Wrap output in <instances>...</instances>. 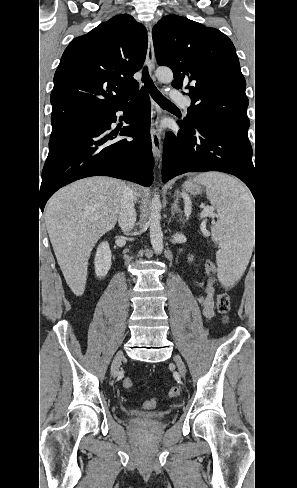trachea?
<instances>
[{
    "label": "trachea",
    "mask_w": 297,
    "mask_h": 488,
    "mask_svg": "<svg viewBox=\"0 0 297 488\" xmlns=\"http://www.w3.org/2000/svg\"><path fill=\"white\" fill-rule=\"evenodd\" d=\"M142 81L144 82L148 92L152 96V98L162 107H175V105L165 98L159 90L155 87L152 82V79L149 76L147 67L143 70Z\"/></svg>",
    "instance_id": "1"
}]
</instances>
